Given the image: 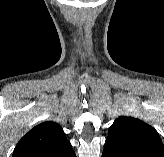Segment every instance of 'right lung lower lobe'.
Listing matches in <instances>:
<instances>
[{"instance_id":"obj_1","label":"right lung lower lobe","mask_w":164,"mask_h":157,"mask_svg":"<svg viewBox=\"0 0 164 157\" xmlns=\"http://www.w3.org/2000/svg\"><path fill=\"white\" fill-rule=\"evenodd\" d=\"M45 157H76V154L72 149V145L68 141Z\"/></svg>"}]
</instances>
